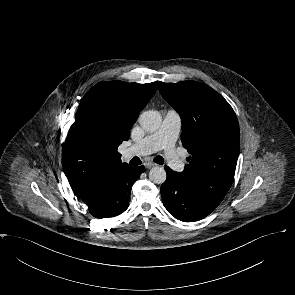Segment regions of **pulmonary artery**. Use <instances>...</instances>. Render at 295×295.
<instances>
[{
    "instance_id": "1",
    "label": "pulmonary artery",
    "mask_w": 295,
    "mask_h": 295,
    "mask_svg": "<svg viewBox=\"0 0 295 295\" xmlns=\"http://www.w3.org/2000/svg\"><path fill=\"white\" fill-rule=\"evenodd\" d=\"M181 116L173 109L166 112L160 127L152 134L124 151V156L133 154L148 155L163 150L169 166L180 172L184 169V162L178 156L174 146L181 131Z\"/></svg>"
}]
</instances>
